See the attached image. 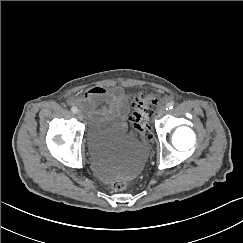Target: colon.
<instances>
[{"mask_svg":"<svg viewBox=\"0 0 243 243\" xmlns=\"http://www.w3.org/2000/svg\"><path fill=\"white\" fill-rule=\"evenodd\" d=\"M157 103V97L150 93H140L132 102L133 111L130 120L135 132L146 142L152 138L151 119ZM127 187L128 182L123 179H117L112 183V188L115 191H123Z\"/></svg>","mask_w":243,"mask_h":243,"instance_id":"5ec220e1","label":"colon"}]
</instances>
